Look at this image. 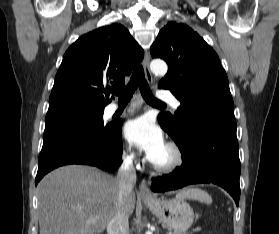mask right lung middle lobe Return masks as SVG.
Listing matches in <instances>:
<instances>
[{
	"label": "right lung middle lobe",
	"instance_id": "obj_1",
	"mask_svg": "<svg viewBox=\"0 0 279 234\" xmlns=\"http://www.w3.org/2000/svg\"><path fill=\"white\" fill-rule=\"evenodd\" d=\"M104 108L67 105L48 110L44 133L66 129L85 128L107 132L111 124L103 122Z\"/></svg>",
	"mask_w": 279,
	"mask_h": 234
}]
</instances>
